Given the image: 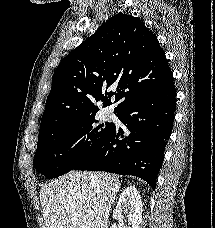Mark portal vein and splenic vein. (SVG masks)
<instances>
[{"instance_id": "1", "label": "portal vein and splenic vein", "mask_w": 215, "mask_h": 228, "mask_svg": "<svg viewBox=\"0 0 215 228\" xmlns=\"http://www.w3.org/2000/svg\"><path fill=\"white\" fill-rule=\"evenodd\" d=\"M88 214H92V212H88Z\"/></svg>"}]
</instances>
